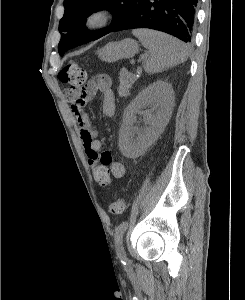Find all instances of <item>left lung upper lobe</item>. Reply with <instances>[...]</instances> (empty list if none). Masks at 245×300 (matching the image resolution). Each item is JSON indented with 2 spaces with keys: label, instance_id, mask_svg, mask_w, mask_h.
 Instances as JSON below:
<instances>
[{
  "label": "left lung upper lobe",
  "instance_id": "1",
  "mask_svg": "<svg viewBox=\"0 0 245 300\" xmlns=\"http://www.w3.org/2000/svg\"><path fill=\"white\" fill-rule=\"evenodd\" d=\"M135 0H64V16L60 20L61 40L59 54L63 55L70 48L79 46L97 36H103L120 23L131 11ZM108 10L113 20L108 29L89 31L85 27L86 18L93 12Z\"/></svg>",
  "mask_w": 245,
  "mask_h": 300
}]
</instances>
